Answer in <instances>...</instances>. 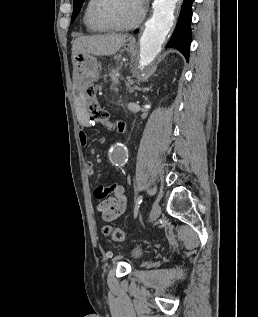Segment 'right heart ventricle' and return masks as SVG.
<instances>
[{
	"label": "right heart ventricle",
	"instance_id": "obj_1",
	"mask_svg": "<svg viewBox=\"0 0 258 317\" xmlns=\"http://www.w3.org/2000/svg\"><path fill=\"white\" fill-rule=\"evenodd\" d=\"M96 2L97 0H87L83 14L84 24L90 33H104L107 32L108 29L99 26L92 17V10Z\"/></svg>",
	"mask_w": 258,
	"mask_h": 317
}]
</instances>
